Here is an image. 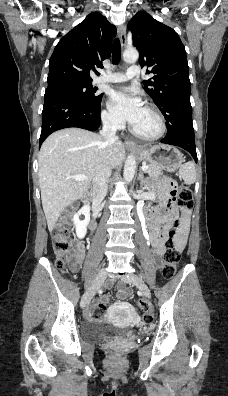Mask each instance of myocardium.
<instances>
[{"label":"myocardium","instance_id":"f54148a6","mask_svg":"<svg viewBox=\"0 0 228 396\" xmlns=\"http://www.w3.org/2000/svg\"><path fill=\"white\" fill-rule=\"evenodd\" d=\"M145 108L147 110H149L150 112H152L154 114V116L157 118L158 123H159V130L157 133L153 134V135H143L141 133H139L134 127H131V133L138 139L140 140H144V141H156L161 139L167 130V125H166V121L163 117V115L161 114V112L153 105L151 104H147L145 106Z\"/></svg>","mask_w":228,"mask_h":396}]
</instances>
